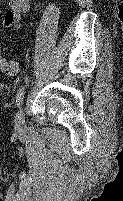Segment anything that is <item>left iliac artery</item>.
Here are the masks:
<instances>
[{
	"label": "left iliac artery",
	"instance_id": "left-iliac-artery-1",
	"mask_svg": "<svg viewBox=\"0 0 123 201\" xmlns=\"http://www.w3.org/2000/svg\"><path fill=\"white\" fill-rule=\"evenodd\" d=\"M26 87H27V85L21 86V88L17 92V95H16V105L17 106H20L23 101Z\"/></svg>",
	"mask_w": 123,
	"mask_h": 201
}]
</instances>
